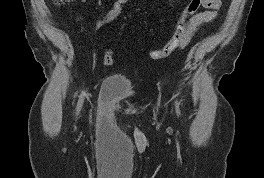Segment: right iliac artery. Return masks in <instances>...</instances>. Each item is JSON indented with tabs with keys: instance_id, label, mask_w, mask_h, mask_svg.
Here are the masks:
<instances>
[{
	"instance_id": "82829eb1",
	"label": "right iliac artery",
	"mask_w": 264,
	"mask_h": 178,
	"mask_svg": "<svg viewBox=\"0 0 264 178\" xmlns=\"http://www.w3.org/2000/svg\"><path fill=\"white\" fill-rule=\"evenodd\" d=\"M84 92L80 95V98L78 100V104H77V110L76 113L78 114L81 110L82 104H83V100H84Z\"/></svg>"
}]
</instances>
